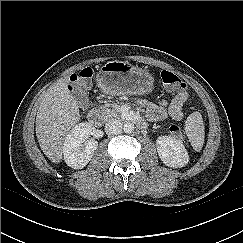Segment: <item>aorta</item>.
Masks as SVG:
<instances>
[{
    "label": "aorta",
    "instance_id": "aorta-1",
    "mask_svg": "<svg viewBox=\"0 0 243 243\" xmlns=\"http://www.w3.org/2000/svg\"><path fill=\"white\" fill-rule=\"evenodd\" d=\"M123 130L125 133H132L134 131V124L131 122H127L123 126Z\"/></svg>",
    "mask_w": 243,
    "mask_h": 243
}]
</instances>
